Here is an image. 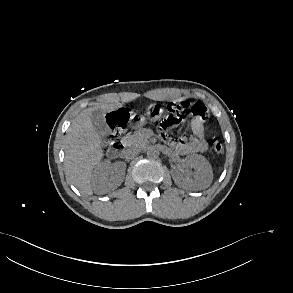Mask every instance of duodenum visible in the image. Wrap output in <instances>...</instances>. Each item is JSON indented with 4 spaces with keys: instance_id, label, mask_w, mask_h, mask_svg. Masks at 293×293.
<instances>
[{
    "instance_id": "1",
    "label": "duodenum",
    "mask_w": 293,
    "mask_h": 293,
    "mask_svg": "<svg viewBox=\"0 0 293 293\" xmlns=\"http://www.w3.org/2000/svg\"><path fill=\"white\" fill-rule=\"evenodd\" d=\"M128 142V132L124 131L118 143H116V145L109 150L108 154L111 157H118L122 155L128 146Z\"/></svg>"
}]
</instances>
